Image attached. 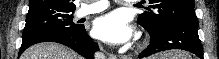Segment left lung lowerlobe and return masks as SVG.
I'll return each instance as SVG.
<instances>
[{
  "instance_id": "left-lung-lower-lobe-1",
  "label": "left lung lower lobe",
  "mask_w": 219,
  "mask_h": 59,
  "mask_svg": "<svg viewBox=\"0 0 219 59\" xmlns=\"http://www.w3.org/2000/svg\"><path fill=\"white\" fill-rule=\"evenodd\" d=\"M144 28L149 32L151 40L149 46L139 54V58L165 50L181 49L204 59L198 36V19L196 15H187L178 19L163 30L154 31Z\"/></svg>"
}]
</instances>
